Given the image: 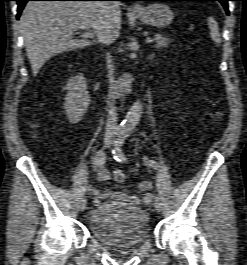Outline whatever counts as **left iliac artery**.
Instances as JSON below:
<instances>
[{
  "label": "left iliac artery",
  "mask_w": 247,
  "mask_h": 265,
  "mask_svg": "<svg viewBox=\"0 0 247 265\" xmlns=\"http://www.w3.org/2000/svg\"><path fill=\"white\" fill-rule=\"evenodd\" d=\"M127 137H128L127 133H122L120 134L119 138L115 142V148L113 149V155H114L115 160L118 162H125L127 160L126 156L123 154L122 149H121V146ZM145 164L154 169L160 170V165L154 160L145 159Z\"/></svg>",
  "instance_id": "1"
}]
</instances>
